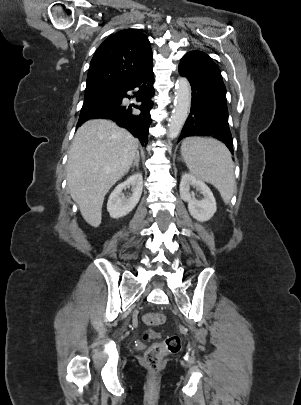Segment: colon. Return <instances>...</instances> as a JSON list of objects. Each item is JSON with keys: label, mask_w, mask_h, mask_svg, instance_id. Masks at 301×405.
<instances>
[{"label": "colon", "mask_w": 301, "mask_h": 405, "mask_svg": "<svg viewBox=\"0 0 301 405\" xmlns=\"http://www.w3.org/2000/svg\"><path fill=\"white\" fill-rule=\"evenodd\" d=\"M165 318L159 313H148L143 316V322L149 327L161 325ZM143 338L148 340L150 338L149 333H145ZM181 348V339L177 335H170L166 337L162 342L151 345L144 355V360L147 367L156 372L161 366L163 359L168 354H175L179 352Z\"/></svg>", "instance_id": "obj_1"}]
</instances>
